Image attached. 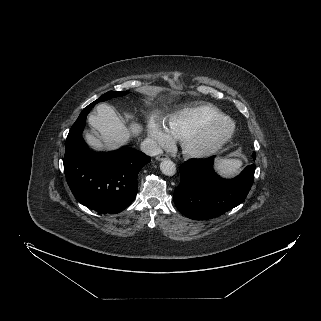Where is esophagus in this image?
Listing matches in <instances>:
<instances>
[{"instance_id":"34e87169","label":"esophagus","mask_w":321,"mask_h":321,"mask_svg":"<svg viewBox=\"0 0 321 321\" xmlns=\"http://www.w3.org/2000/svg\"><path fill=\"white\" fill-rule=\"evenodd\" d=\"M166 159H168V156L165 154H161L156 157V160H158V161H162V160H166Z\"/></svg>"}]
</instances>
